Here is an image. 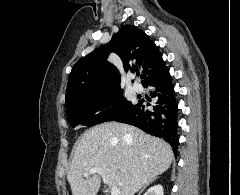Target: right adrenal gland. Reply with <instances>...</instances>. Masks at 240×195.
<instances>
[{
  "instance_id": "1",
  "label": "right adrenal gland",
  "mask_w": 240,
  "mask_h": 195,
  "mask_svg": "<svg viewBox=\"0 0 240 195\" xmlns=\"http://www.w3.org/2000/svg\"><path fill=\"white\" fill-rule=\"evenodd\" d=\"M155 179H157V175L156 177H153V179H150V181H147V183H144L142 189H140L138 195H140V193H142V191H144L145 187H147V185H149V183H152V181H155Z\"/></svg>"
}]
</instances>
